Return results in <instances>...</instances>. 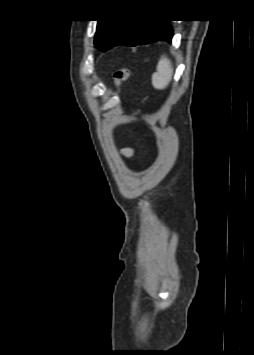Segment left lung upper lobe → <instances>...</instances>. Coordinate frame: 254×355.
<instances>
[{
	"instance_id": "left-lung-upper-lobe-1",
	"label": "left lung upper lobe",
	"mask_w": 254,
	"mask_h": 355,
	"mask_svg": "<svg viewBox=\"0 0 254 355\" xmlns=\"http://www.w3.org/2000/svg\"><path fill=\"white\" fill-rule=\"evenodd\" d=\"M130 20H99L94 44L101 51H107L121 37L123 30Z\"/></svg>"
}]
</instances>
